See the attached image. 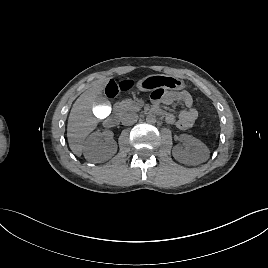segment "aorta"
Wrapping results in <instances>:
<instances>
[{"mask_svg": "<svg viewBox=\"0 0 268 268\" xmlns=\"http://www.w3.org/2000/svg\"><path fill=\"white\" fill-rule=\"evenodd\" d=\"M146 122L149 124H155L156 123V116L153 114H148L146 116Z\"/></svg>", "mask_w": 268, "mask_h": 268, "instance_id": "aorta-1", "label": "aorta"}]
</instances>
